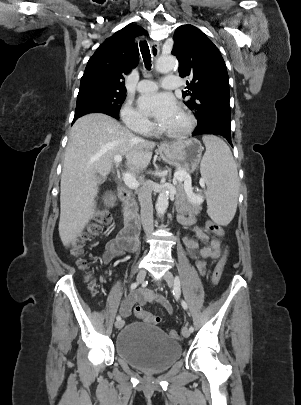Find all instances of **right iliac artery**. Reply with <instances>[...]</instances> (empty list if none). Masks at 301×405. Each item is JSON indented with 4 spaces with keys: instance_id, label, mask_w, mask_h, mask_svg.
Masks as SVG:
<instances>
[{
    "instance_id": "right-iliac-artery-1",
    "label": "right iliac artery",
    "mask_w": 301,
    "mask_h": 405,
    "mask_svg": "<svg viewBox=\"0 0 301 405\" xmlns=\"http://www.w3.org/2000/svg\"><path fill=\"white\" fill-rule=\"evenodd\" d=\"M139 285V283L137 282V283H133V284H131V290H134V289H136L137 288V286ZM116 319H117V321H119V320H121V317L118 315L117 317H116Z\"/></svg>"
}]
</instances>
